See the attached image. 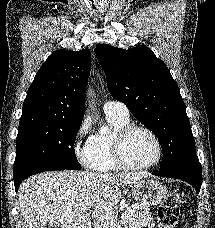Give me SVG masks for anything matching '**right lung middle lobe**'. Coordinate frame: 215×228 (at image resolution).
<instances>
[{"label": "right lung middle lobe", "mask_w": 215, "mask_h": 228, "mask_svg": "<svg viewBox=\"0 0 215 228\" xmlns=\"http://www.w3.org/2000/svg\"><path fill=\"white\" fill-rule=\"evenodd\" d=\"M81 122L63 121L19 128L13 172L40 166L80 170L73 146Z\"/></svg>", "instance_id": "1"}]
</instances>
